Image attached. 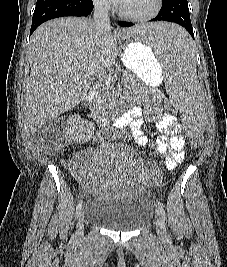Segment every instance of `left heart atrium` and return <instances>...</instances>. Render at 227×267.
Here are the masks:
<instances>
[{"label":"left heart atrium","instance_id":"1","mask_svg":"<svg viewBox=\"0 0 227 267\" xmlns=\"http://www.w3.org/2000/svg\"><path fill=\"white\" fill-rule=\"evenodd\" d=\"M113 1L121 6L125 0H113Z\"/></svg>","mask_w":227,"mask_h":267}]
</instances>
